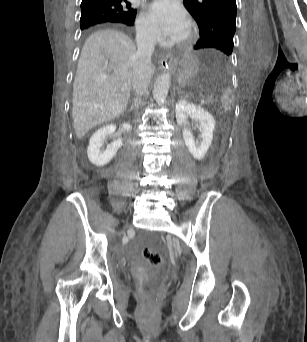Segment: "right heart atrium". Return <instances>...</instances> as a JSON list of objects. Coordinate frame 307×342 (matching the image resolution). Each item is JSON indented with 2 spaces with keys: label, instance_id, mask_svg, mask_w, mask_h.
Listing matches in <instances>:
<instances>
[{
  "label": "right heart atrium",
  "instance_id": "obj_1",
  "mask_svg": "<svg viewBox=\"0 0 307 342\" xmlns=\"http://www.w3.org/2000/svg\"><path fill=\"white\" fill-rule=\"evenodd\" d=\"M136 32H137L138 36H144V37L152 36V34H153V31H152V28L150 27V25L142 19H140L137 22Z\"/></svg>",
  "mask_w": 307,
  "mask_h": 342
}]
</instances>
